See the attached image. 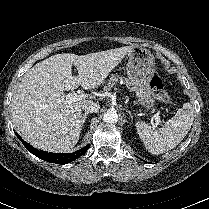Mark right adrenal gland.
<instances>
[{
  "instance_id": "2a0ac1e0",
  "label": "right adrenal gland",
  "mask_w": 209,
  "mask_h": 209,
  "mask_svg": "<svg viewBox=\"0 0 209 209\" xmlns=\"http://www.w3.org/2000/svg\"><path fill=\"white\" fill-rule=\"evenodd\" d=\"M87 115H88L87 112H85V113L82 115V118H81V126L84 125V123H85V121H86V118H87Z\"/></svg>"
}]
</instances>
